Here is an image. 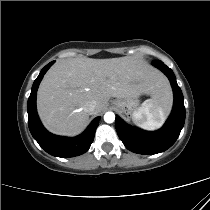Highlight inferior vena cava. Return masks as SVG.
Returning a JSON list of instances; mask_svg holds the SVG:
<instances>
[{
  "instance_id": "1",
  "label": "inferior vena cava",
  "mask_w": 210,
  "mask_h": 210,
  "mask_svg": "<svg viewBox=\"0 0 210 210\" xmlns=\"http://www.w3.org/2000/svg\"><path fill=\"white\" fill-rule=\"evenodd\" d=\"M96 102L95 101H91L89 102L88 106H87V109L90 113L94 112V110L96 109Z\"/></svg>"
}]
</instances>
